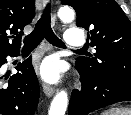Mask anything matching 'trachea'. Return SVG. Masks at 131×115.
I'll return each mask as SVG.
<instances>
[{
  "label": "trachea",
  "instance_id": "3493384b",
  "mask_svg": "<svg viewBox=\"0 0 131 115\" xmlns=\"http://www.w3.org/2000/svg\"><path fill=\"white\" fill-rule=\"evenodd\" d=\"M51 4L48 3L43 11V14L39 21L37 22L34 30L24 38L25 50H32L36 48L40 42L45 38L50 44L65 48V44L59 39L53 32L51 28ZM80 50H85L81 48Z\"/></svg>",
  "mask_w": 131,
  "mask_h": 115
}]
</instances>
